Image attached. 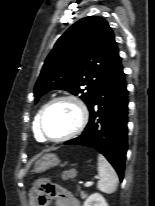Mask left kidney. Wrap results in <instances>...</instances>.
<instances>
[{
  "instance_id": "5707ae66",
  "label": "left kidney",
  "mask_w": 155,
  "mask_h": 206,
  "mask_svg": "<svg viewBox=\"0 0 155 206\" xmlns=\"http://www.w3.org/2000/svg\"><path fill=\"white\" fill-rule=\"evenodd\" d=\"M83 206H109L100 193H93L84 202Z\"/></svg>"
}]
</instances>
